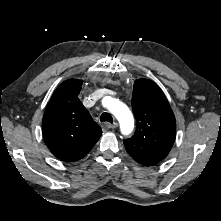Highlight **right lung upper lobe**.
Listing matches in <instances>:
<instances>
[{"label":"right lung upper lobe","mask_w":221,"mask_h":221,"mask_svg":"<svg viewBox=\"0 0 221 221\" xmlns=\"http://www.w3.org/2000/svg\"><path fill=\"white\" fill-rule=\"evenodd\" d=\"M82 80L64 81L46 107L42 132L51 153L63 161L82 159L99 140L102 130L78 98Z\"/></svg>","instance_id":"right-lung-upper-lobe-1"}]
</instances>
